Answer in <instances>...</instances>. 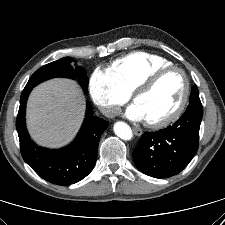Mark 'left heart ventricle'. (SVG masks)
Listing matches in <instances>:
<instances>
[{
    "label": "left heart ventricle",
    "mask_w": 225,
    "mask_h": 225,
    "mask_svg": "<svg viewBox=\"0 0 225 225\" xmlns=\"http://www.w3.org/2000/svg\"><path fill=\"white\" fill-rule=\"evenodd\" d=\"M182 94V76L177 71H171L162 76L148 92L138 96L134 103L141 109L145 121H155L171 113Z\"/></svg>",
    "instance_id": "1"
}]
</instances>
